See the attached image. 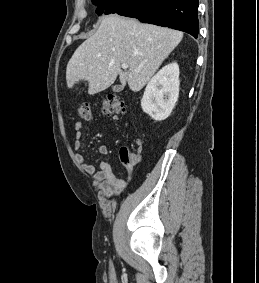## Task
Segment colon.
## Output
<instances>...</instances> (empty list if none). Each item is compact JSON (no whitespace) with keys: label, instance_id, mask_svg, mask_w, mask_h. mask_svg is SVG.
Returning a JSON list of instances; mask_svg holds the SVG:
<instances>
[{"label":"colon","instance_id":"colon-1","mask_svg":"<svg viewBox=\"0 0 259 283\" xmlns=\"http://www.w3.org/2000/svg\"><path fill=\"white\" fill-rule=\"evenodd\" d=\"M101 111L106 115H124L126 113L125 103L115 95H108L102 100ZM77 115L83 120H92L93 112L89 103H81L77 109ZM121 160L125 165H134L138 162L139 153L123 147L120 152Z\"/></svg>","mask_w":259,"mask_h":283}]
</instances>
